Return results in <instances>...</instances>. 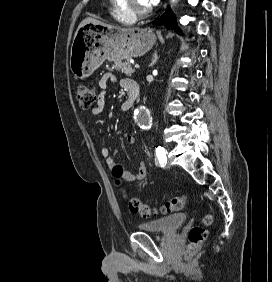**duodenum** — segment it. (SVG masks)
<instances>
[{"mask_svg": "<svg viewBox=\"0 0 272 282\" xmlns=\"http://www.w3.org/2000/svg\"><path fill=\"white\" fill-rule=\"evenodd\" d=\"M125 89L128 93V98L123 102L122 108L127 110L133 106L140 94L139 83L134 79H124Z\"/></svg>", "mask_w": 272, "mask_h": 282, "instance_id": "1", "label": "duodenum"}]
</instances>
